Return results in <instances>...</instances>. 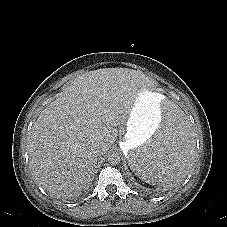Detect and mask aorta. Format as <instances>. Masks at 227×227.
<instances>
[{
    "label": "aorta",
    "instance_id": "1",
    "mask_svg": "<svg viewBox=\"0 0 227 227\" xmlns=\"http://www.w3.org/2000/svg\"><path fill=\"white\" fill-rule=\"evenodd\" d=\"M120 156L119 154L117 153H112L109 155L108 157V162L111 164V165H118L120 163Z\"/></svg>",
    "mask_w": 227,
    "mask_h": 227
}]
</instances>
